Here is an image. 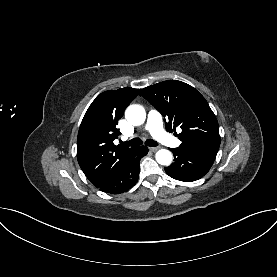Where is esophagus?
Instances as JSON below:
<instances>
[{
  "mask_svg": "<svg viewBox=\"0 0 277 277\" xmlns=\"http://www.w3.org/2000/svg\"><path fill=\"white\" fill-rule=\"evenodd\" d=\"M159 149V147H150L149 150L152 152H156Z\"/></svg>",
  "mask_w": 277,
  "mask_h": 277,
  "instance_id": "obj_1",
  "label": "esophagus"
}]
</instances>
